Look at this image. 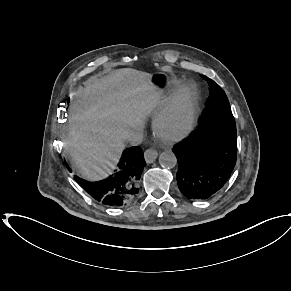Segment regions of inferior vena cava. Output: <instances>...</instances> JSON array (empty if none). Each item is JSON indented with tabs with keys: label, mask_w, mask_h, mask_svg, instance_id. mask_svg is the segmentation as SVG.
Returning a JSON list of instances; mask_svg holds the SVG:
<instances>
[{
	"label": "inferior vena cava",
	"mask_w": 291,
	"mask_h": 291,
	"mask_svg": "<svg viewBox=\"0 0 291 291\" xmlns=\"http://www.w3.org/2000/svg\"><path fill=\"white\" fill-rule=\"evenodd\" d=\"M124 139L131 145H139L143 141V128L137 127L124 135Z\"/></svg>",
	"instance_id": "1"
}]
</instances>
